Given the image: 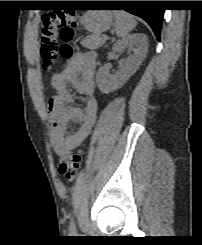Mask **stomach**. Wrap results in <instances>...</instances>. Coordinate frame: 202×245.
<instances>
[{
	"label": "stomach",
	"instance_id": "stomach-1",
	"mask_svg": "<svg viewBox=\"0 0 202 245\" xmlns=\"http://www.w3.org/2000/svg\"><path fill=\"white\" fill-rule=\"evenodd\" d=\"M113 15L107 10H89L81 17V24L86 30L100 35L110 28Z\"/></svg>",
	"mask_w": 202,
	"mask_h": 245
}]
</instances>
